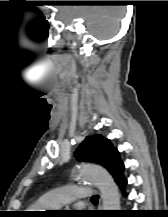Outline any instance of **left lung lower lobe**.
I'll return each instance as SVG.
<instances>
[{
    "mask_svg": "<svg viewBox=\"0 0 168 217\" xmlns=\"http://www.w3.org/2000/svg\"><path fill=\"white\" fill-rule=\"evenodd\" d=\"M116 181H117L118 186L122 189L123 195L126 196L127 194H126L124 188L127 185V179L122 174Z\"/></svg>",
    "mask_w": 168,
    "mask_h": 217,
    "instance_id": "obj_1",
    "label": "left lung lower lobe"
}]
</instances>
